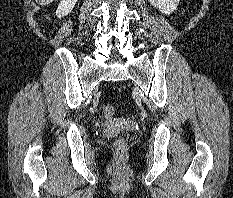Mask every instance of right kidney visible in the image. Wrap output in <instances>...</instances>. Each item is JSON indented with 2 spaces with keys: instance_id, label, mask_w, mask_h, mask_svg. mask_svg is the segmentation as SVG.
Instances as JSON below:
<instances>
[{
  "instance_id": "obj_1",
  "label": "right kidney",
  "mask_w": 233,
  "mask_h": 198,
  "mask_svg": "<svg viewBox=\"0 0 233 198\" xmlns=\"http://www.w3.org/2000/svg\"><path fill=\"white\" fill-rule=\"evenodd\" d=\"M77 1L78 0H62L56 11L57 17L61 18L69 14L73 10Z\"/></svg>"
}]
</instances>
